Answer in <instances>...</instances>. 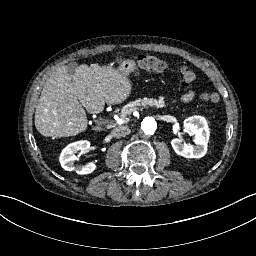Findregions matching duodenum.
I'll return each instance as SVG.
<instances>
[{"label": "duodenum", "mask_w": 256, "mask_h": 256, "mask_svg": "<svg viewBox=\"0 0 256 256\" xmlns=\"http://www.w3.org/2000/svg\"><path fill=\"white\" fill-rule=\"evenodd\" d=\"M134 68H135L134 62L130 59H127L120 66L119 71L122 75L127 76L134 70Z\"/></svg>", "instance_id": "obj_1"}]
</instances>
